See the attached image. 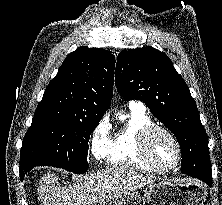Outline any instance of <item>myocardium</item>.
Instances as JSON below:
<instances>
[{
	"mask_svg": "<svg viewBox=\"0 0 222 205\" xmlns=\"http://www.w3.org/2000/svg\"><path fill=\"white\" fill-rule=\"evenodd\" d=\"M156 132H161L164 135H166L175 145L176 151H177V158L175 163L171 167H163L159 165L154 158L151 155L150 149H149V139L152 134ZM138 147L139 152L143 159L155 170H157L160 173H169L175 169H177L181 163L182 160V148L179 140L177 137L166 127L161 125H155L151 124L144 129H142L138 135Z\"/></svg>",
	"mask_w": 222,
	"mask_h": 205,
	"instance_id": "myocardium-1",
	"label": "myocardium"
}]
</instances>
